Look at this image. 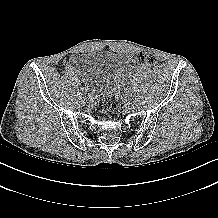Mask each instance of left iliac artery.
<instances>
[{
  "mask_svg": "<svg viewBox=\"0 0 218 218\" xmlns=\"http://www.w3.org/2000/svg\"><path fill=\"white\" fill-rule=\"evenodd\" d=\"M133 97H134V94L130 93L129 96H127V101L132 100Z\"/></svg>",
  "mask_w": 218,
  "mask_h": 218,
  "instance_id": "44dca946",
  "label": "left iliac artery"
}]
</instances>
